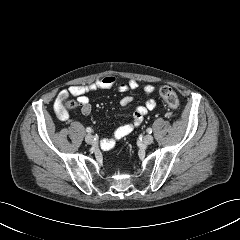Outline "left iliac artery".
I'll return each instance as SVG.
<instances>
[{"mask_svg": "<svg viewBox=\"0 0 240 240\" xmlns=\"http://www.w3.org/2000/svg\"><path fill=\"white\" fill-rule=\"evenodd\" d=\"M147 132H148V133H152V129H151V128H148V129H147Z\"/></svg>", "mask_w": 240, "mask_h": 240, "instance_id": "1", "label": "left iliac artery"}]
</instances>
